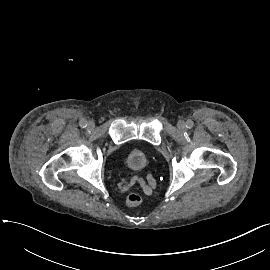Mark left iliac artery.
I'll use <instances>...</instances> for the list:
<instances>
[{
  "mask_svg": "<svg viewBox=\"0 0 270 270\" xmlns=\"http://www.w3.org/2000/svg\"><path fill=\"white\" fill-rule=\"evenodd\" d=\"M193 125H194V123L190 120V121H187L186 127L187 128H192Z\"/></svg>",
  "mask_w": 270,
  "mask_h": 270,
  "instance_id": "left-iliac-artery-1",
  "label": "left iliac artery"
}]
</instances>
